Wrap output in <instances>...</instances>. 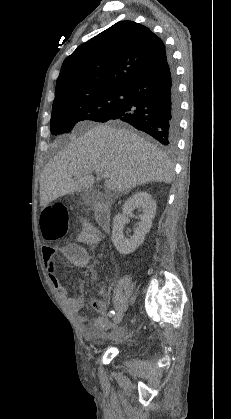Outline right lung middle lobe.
I'll list each match as a JSON object with an SVG mask.
<instances>
[{
    "instance_id": "1",
    "label": "right lung middle lobe",
    "mask_w": 231,
    "mask_h": 419,
    "mask_svg": "<svg viewBox=\"0 0 231 419\" xmlns=\"http://www.w3.org/2000/svg\"><path fill=\"white\" fill-rule=\"evenodd\" d=\"M124 94V89L107 88L53 103L51 133L70 132L83 120L105 121L123 103Z\"/></svg>"
}]
</instances>
